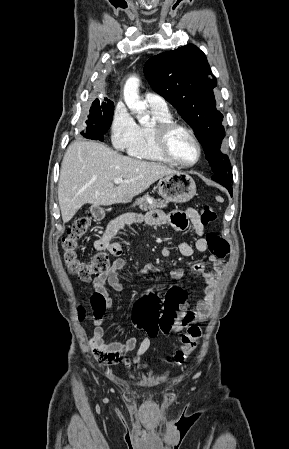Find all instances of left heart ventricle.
Listing matches in <instances>:
<instances>
[{
    "label": "left heart ventricle",
    "instance_id": "1",
    "mask_svg": "<svg viewBox=\"0 0 289 449\" xmlns=\"http://www.w3.org/2000/svg\"><path fill=\"white\" fill-rule=\"evenodd\" d=\"M172 154L180 161L191 163L197 158V147L184 131L174 132L170 138Z\"/></svg>",
    "mask_w": 289,
    "mask_h": 449
}]
</instances>
